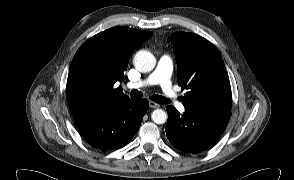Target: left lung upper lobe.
<instances>
[{
  "label": "left lung upper lobe",
  "instance_id": "1",
  "mask_svg": "<svg viewBox=\"0 0 294 180\" xmlns=\"http://www.w3.org/2000/svg\"><path fill=\"white\" fill-rule=\"evenodd\" d=\"M168 41L176 55L178 85L188 89L185 109L230 113V82L217 48L193 33L175 32Z\"/></svg>",
  "mask_w": 294,
  "mask_h": 180
}]
</instances>
